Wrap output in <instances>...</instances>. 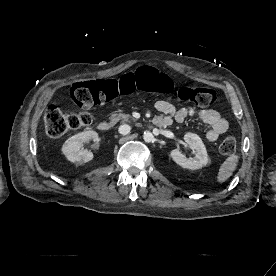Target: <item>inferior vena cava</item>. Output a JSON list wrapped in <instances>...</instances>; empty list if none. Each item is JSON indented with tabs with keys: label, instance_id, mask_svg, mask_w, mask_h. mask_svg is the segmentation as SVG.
<instances>
[{
	"label": "inferior vena cava",
	"instance_id": "obj_1",
	"mask_svg": "<svg viewBox=\"0 0 276 276\" xmlns=\"http://www.w3.org/2000/svg\"><path fill=\"white\" fill-rule=\"evenodd\" d=\"M131 127L127 124L121 125L118 129L119 133L122 135H126L130 132Z\"/></svg>",
	"mask_w": 276,
	"mask_h": 276
}]
</instances>
